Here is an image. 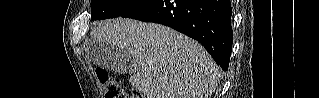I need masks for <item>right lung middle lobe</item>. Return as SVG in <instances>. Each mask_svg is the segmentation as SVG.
<instances>
[{
    "mask_svg": "<svg viewBox=\"0 0 319 98\" xmlns=\"http://www.w3.org/2000/svg\"><path fill=\"white\" fill-rule=\"evenodd\" d=\"M146 0H91V20L119 17Z\"/></svg>",
    "mask_w": 319,
    "mask_h": 98,
    "instance_id": "dd1d6c3e",
    "label": "right lung middle lobe"
}]
</instances>
